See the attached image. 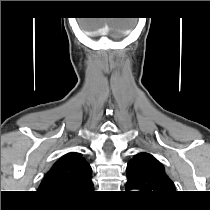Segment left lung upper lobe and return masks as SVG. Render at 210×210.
Returning a JSON list of instances; mask_svg holds the SVG:
<instances>
[{
  "instance_id": "5c2ea615",
  "label": "left lung upper lobe",
  "mask_w": 210,
  "mask_h": 210,
  "mask_svg": "<svg viewBox=\"0 0 210 210\" xmlns=\"http://www.w3.org/2000/svg\"><path fill=\"white\" fill-rule=\"evenodd\" d=\"M127 189L136 187L150 196H164L175 192L172 180L163 165L151 154L137 153L127 164Z\"/></svg>"
}]
</instances>
